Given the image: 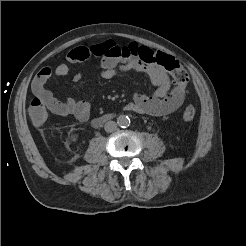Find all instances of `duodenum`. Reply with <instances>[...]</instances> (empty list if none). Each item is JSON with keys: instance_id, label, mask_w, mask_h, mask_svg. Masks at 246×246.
Returning a JSON list of instances; mask_svg holds the SVG:
<instances>
[{"instance_id": "duodenum-1", "label": "duodenum", "mask_w": 246, "mask_h": 246, "mask_svg": "<svg viewBox=\"0 0 246 246\" xmlns=\"http://www.w3.org/2000/svg\"><path fill=\"white\" fill-rule=\"evenodd\" d=\"M111 118H112V116L109 115V114H108V115H104V116H101V117H98V118L94 119V120H93V124H94L95 126H100V125H102L103 123L109 121Z\"/></svg>"}]
</instances>
